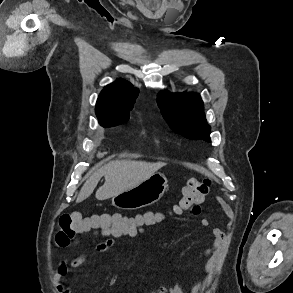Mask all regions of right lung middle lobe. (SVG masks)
I'll return each mask as SVG.
<instances>
[{
  "label": "right lung middle lobe",
  "mask_w": 293,
  "mask_h": 293,
  "mask_svg": "<svg viewBox=\"0 0 293 293\" xmlns=\"http://www.w3.org/2000/svg\"><path fill=\"white\" fill-rule=\"evenodd\" d=\"M129 119V116H112V117H106L103 119H98L99 123L103 126V127H111V126H116L119 125L121 123H124L125 121H127Z\"/></svg>",
  "instance_id": "dd1d6c3e"
}]
</instances>
